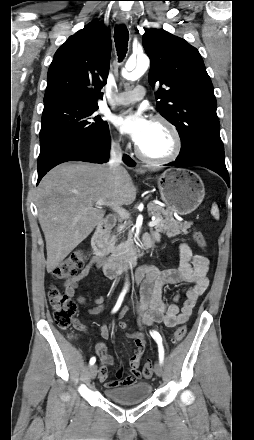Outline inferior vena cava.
<instances>
[{
  "label": "inferior vena cava",
  "mask_w": 254,
  "mask_h": 440,
  "mask_svg": "<svg viewBox=\"0 0 254 440\" xmlns=\"http://www.w3.org/2000/svg\"><path fill=\"white\" fill-rule=\"evenodd\" d=\"M122 163V151L119 143L113 142L110 150V158H109V168L115 173L116 171L121 169Z\"/></svg>",
  "instance_id": "obj_1"
}]
</instances>
